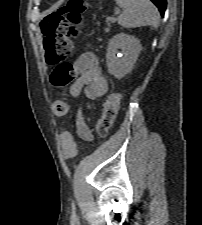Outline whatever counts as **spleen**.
<instances>
[{
	"mask_svg": "<svg viewBox=\"0 0 202 225\" xmlns=\"http://www.w3.org/2000/svg\"><path fill=\"white\" fill-rule=\"evenodd\" d=\"M116 4L123 9L118 17V23L126 28L140 26H152L157 28L159 13L150 0H115Z\"/></svg>",
	"mask_w": 202,
	"mask_h": 225,
	"instance_id": "obj_1",
	"label": "spleen"
}]
</instances>
